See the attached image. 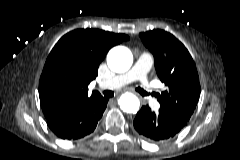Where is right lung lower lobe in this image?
Wrapping results in <instances>:
<instances>
[{
	"label": "right lung lower lobe",
	"instance_id": "1",
	"mask_svg": "<svg viewBox=\"0 0 240 160\" xmlns=\"http://www.w3.org/2000/svg\"><path fill=\"white\" fill-rule=\"evenodd\" d=\"M107 102L101 95L91 97L76 107L58 112L47 119V125L61 139H80L94 131Z\"/></svg>",
	"mask_w": 240,
	"mask_h": 160
}]
</instances>
